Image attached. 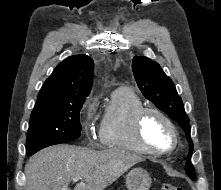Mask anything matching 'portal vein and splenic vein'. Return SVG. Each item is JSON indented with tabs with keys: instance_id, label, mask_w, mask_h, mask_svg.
I'll use <instances>...</instances> for the list:
<instances>
[{
	"instance_id": "1",
	"label": "portal vein and splenic vein",
	"mask_w": 221,
	"mask_h": 190,
	"mask_svg": "<svg viewBox=\"0 0 221 190\" xmlns=\"http://www.w3.org/2000/svg\"><path fill=\"white\" fill-rule=\"evenodd\" d=\"M79 180H82V178H80V177H75V178L73 179L74 182H77V181H79Z\"/></svg>"
}]
</instances>
